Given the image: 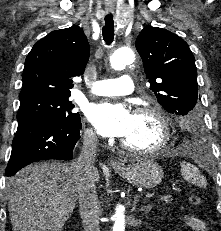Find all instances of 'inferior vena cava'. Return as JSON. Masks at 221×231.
<instances>
[{"label": "inferior vena cava", "instance_id": "602c4592", "mask_svg": "<svg viewBox=\"0 0 221 231\" xmlns=\"http://www.w3.org/2000/svg\"><path fill=\"white\" fill-rule=\"evenodd\" d=\"M98 138L92 130L84 134L80 156L74 162L77 173L79 211L84 231H100V203L96 193L97 170L94 167Z\"/></svg>", "mask_w": 221, "mask_h": 231}]
</instances>
